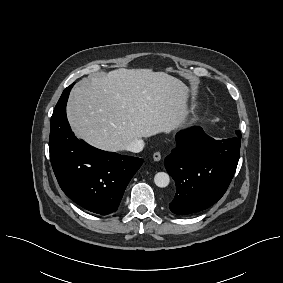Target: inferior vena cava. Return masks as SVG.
<instances>
[{
  "instance_id": "1",
  "label": "inferior vena cava",
  "mask_w": 283,
  "mask_h": 283,
  "mask_svg": "<svg viewBox=\"0 0 283 283\" xmlns=\"http://www.w3.org/2000/svg\"><path fill=\"white\" fill-rule=\"evenodd\" d=\"M144 147V141L142 139H137L132 141L130 144L126 146V150L134 153L141 152Z\"/></svg>"
}]
</instances>
